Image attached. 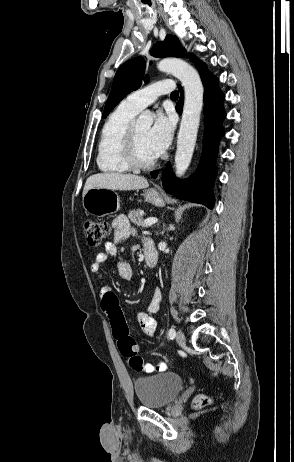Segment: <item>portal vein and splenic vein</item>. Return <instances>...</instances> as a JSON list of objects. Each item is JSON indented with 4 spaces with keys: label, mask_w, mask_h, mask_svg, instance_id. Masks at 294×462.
Instances as JSON below:
<instances>
[{
    "label": "portal vein and splenic vein",
    "mask_w": 294,
    "mask_h": 462,
    "mask_svg": "<svg viewBox=\"0 0 294 462\" xmlns=\"http://www.w3.org/2000/svg\"><path fill=\"white\" fill-rule=\"evenodd\" d=\"M157 221L158 220L156 218H148L143 222V224L144 226H150V225L155 224Z\"/></svg>",
    "instance_id": "portal-vein-and-splenic-vein-1"
}]
</instances>
